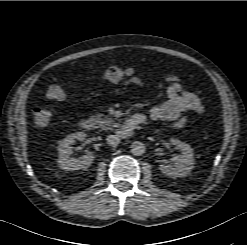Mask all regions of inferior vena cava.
Wrapping results in <instances>:
<instances>
[{"mask_svg": "<svg viewBox=\"0 0 247 245\" xmlns=\"http://www.w3.org/2000/svg\"><path fill=\"white\" fill-rule=\"evenodd\" d=\"M107 142L110 146L116 147L120 143V138L116 135L107 136Z\"/></svg>", "mask_w": 247, "mask_h": 245, "instance_id": "602c4592", "label": "inferior vena cava"}]
</instances>
